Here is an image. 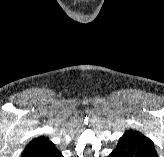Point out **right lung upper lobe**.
<instances>
[{"instance_id":"obj_1","label":"right lung upper lobe","mask_w":164,"mask_h":157,"mask_svg":"<svg viewBox=\"0 0 164 157\" xmlns=\"http://www.w3.org/2000/svg\"><path fill=\"white\" fill-rule=\"evenodd\" d=\"M46 140H48L46 137L35 138L34 140H32V141L26 146V148H25L24 151L30 149L31 147H33L34 145H36V144H38V143H40V142L46 141Z\"/></svg>"}]
</instances>
